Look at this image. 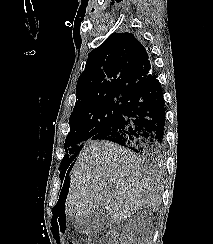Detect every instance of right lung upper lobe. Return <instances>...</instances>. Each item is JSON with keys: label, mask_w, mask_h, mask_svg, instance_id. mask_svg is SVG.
Returning a JSON list of instances; mask_svg holds the SVG:
<instances>
[{"label": "right lung upper lobe", "mask_w": 213, "mask_h": 244, "mask_svg": "<svg viewBox=\"0 0 213 244\" xmlns=\"http://www.w3.org/2000/svg\"><path fill=\"white\" fill-rule=\"evenodd\" d=\"M154 75L144 43L132 33H112L90 52L77 82L74 108L108 95L132 97Z\"/></svg>", "instance_id": "1"}]
</instances>
